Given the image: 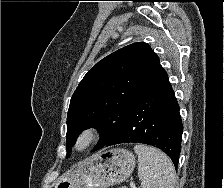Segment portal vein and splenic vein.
Segmentation results:
<instances>
[{
	"mask_svg": "<svg viewBox=\"0 0 224 188\" xmlns=\"http://www.w3.org/2000/svg\"><path fill=\"white\" fill-rule=\"evenodd\" d=\"M130 186H131L132 188H136V187H135V184H134L133 182H130Z\"/></svg>",
	"mask_w": 224,
	"mask_h": 188,
	"instance_id": "obj_1",
	"label": "portal vein and splenic vein"
}]
</instances>
